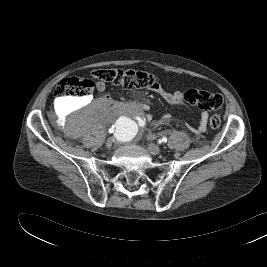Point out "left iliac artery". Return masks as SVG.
<instances>
[{"mask_svg":"<svg viewBox=\"0 0 267 267\" xmlns=\"http://www.w3.org/2000/svg\"><path fill=\"white\" fill-rule=\"evenodd\" d=\"M167 140H168L167 137H162V138L159 139V142L160 143H166Z\"/></svg>","mask_w":267,"mask_h":267,"instance_id":"obj_1","label":"left iliac artery"}]
</instances>
